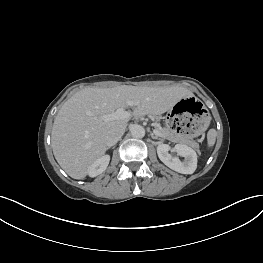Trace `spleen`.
<instances>
[{"mask_svg":"<svg viewBox=\"0 0 263 263\" xmlns=\"http://www.w3.org/2000/svg\"><path fill=\"white\" fill-rule=\"evenodd\" d=\"M208 147H212L215 144L216 131L214 129L209 130L208 135Z\"/></svg>","mask_w":263,"mask_h":263,"instance_id":"obj_1","label":"spleen"}]
</instances>
